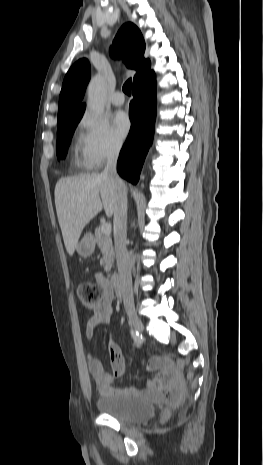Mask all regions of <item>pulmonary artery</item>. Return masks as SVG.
Here are the masks:
<instances>
[{"label":"pulmonary artery","mask_w":263,"mask_h":465,"mask_svg":"<svg viewBox=\"0 0 263 465\" xmlns=\"http://www.w3.org/2000/svg\"><path fill=\"white\" fill-rule=\"evenodd\" d=\"M111 102L115 106L123 105L125 102L124 95L119 91L115 92L111 97Z\"/></svg>","instance_id":"obj_1"}]
</instances>
